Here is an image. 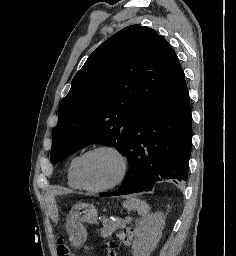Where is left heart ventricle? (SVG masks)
<instances>
[{"instance_id": "obj_1", "label": "left heart ventricle", "mask_w": 236, "mask_h": 256, "mask_svg": "<svg viewBox=\"0 0 236 256\" xmlns=\"http://www.w3.org/2000/svg\"><path fill=\"white\" fill-rule=\"evenodd\" d=\"M120 172L118 157L110 151L88 155L82 165V175L90 187H102L112 183Z\"/></svg>"}]
</instances>
